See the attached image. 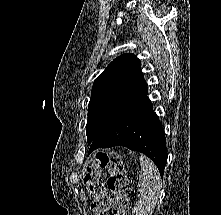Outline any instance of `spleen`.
I'll list each match as a JSON object with an SVG mask.
<instances>
[{"label":"spleen","mask_w":221,"mask_h":215,"mask_svg":"<svg viewBox=\"0 0 221 215\" xmlns=\"http://www.w3.org/2000/svg\"><path fill=\"white\" fill-rule=\"evenodd\" d=\"M141 171L139 174V199L134 206L135 215H152L160 196L162 186L159 171L146 156H140Z\"/></svg>","instance_id":"1"}]
</instances>
